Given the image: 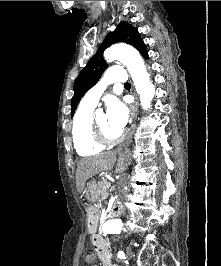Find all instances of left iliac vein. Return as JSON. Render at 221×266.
Segmentation results:
<instances>
[{
  "label": "left iliac vein",
  "mask_w": 221,
  "mask_h": 266,
  "mask_svg": "<svg viewBox=\"0 0 221 266\" xmlns=\"http://www.w3.org/2000/svg\"><path fill=\"white\" fill-rule=\"evenodd\" d=\"M133 258V252L132 250L128 249L126 253V259L131 260Z\"/></svg>",
  "instance_id": "obj_1"
}]
</instances>
